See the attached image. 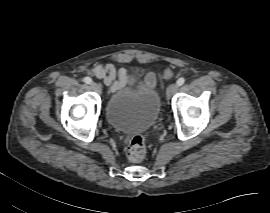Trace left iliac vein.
<instances>
[{
	"instance_id": "1",
	"label": "left iliac vein",
	"mask_w": 270,
	"mask_h": 213,
	"mask_svg": "<svg viewBox=\"0 0 270 213\" xmlns=\"http://www.w3.org/2000/svg\"><path fill=\"white\" fill-rule=\"evenodd\" d=\"M177 89H178L177 83L170 84L166 89L167 99H170L172 95L177 91Z\"/></svg>"
}]
</instances>
